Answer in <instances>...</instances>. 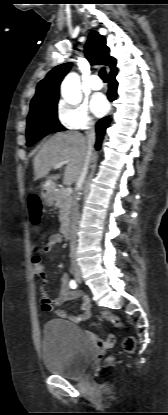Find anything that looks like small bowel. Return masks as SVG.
<instances>
[{"label":"small bowel","instance_id":"obj_1","mask_svg":"<svg viewBox=\"0 0 168 415\" xmlns=\"http://www.w3.org/2000/svg\"><path fill=\"white\" fill-rule=\"evenodd\" d=\"M61 242V237L57 234H52L44 245V251L50 252L54 246ZM79 299L80 314L71 315L65 310L58 308L61 304ZM42 309L47 312H53L57 317L68 319L73 323H81L87 320L90 316V306L87 296L78 290H73L70 287L69 277L66 273L61 275V287L58 297L50 299L44 288H41Z\"/></svg>","mask_w":168,"mask_h":415}]
</instances>
